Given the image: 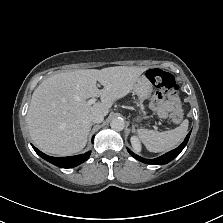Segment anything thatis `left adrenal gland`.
I'll use <instances>...</instances> for the list:
<instances>
[{"mask_svg":"<svg viewBox=\"0 0 223 223\" xmlns=\"http://www.w3.org/2000/svg\"><path fill=\"white\" fill-rule=\"evenodd\" d=\"M132 132L135 133L136 132V129H135V125L132 124Z\"/></svg>","mask_w":223,"mask_h":223,"instance_id":"1","label":"left adrenal gland"}]
</instances>
